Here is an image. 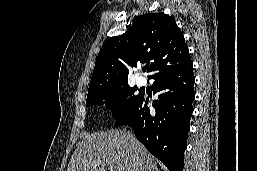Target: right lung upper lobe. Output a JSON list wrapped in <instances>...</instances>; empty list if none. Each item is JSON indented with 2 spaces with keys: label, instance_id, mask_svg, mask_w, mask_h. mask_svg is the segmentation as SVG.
<instances>
[{
  "label": "right lung upper lobe",
  "instance_id": "right-lung-upper-lobe-1",
  "mask_svg": "<svg viewBox=\"0 0 257 171\" xmlns=\"http://www.w3.org/2000/svg\"><path fill=\"white\" fill-rule=\"evenodd\" d=\"M188 59L189 50L174 19L164 13L144 14L127 32L102 46L88 92L127 83L129 68L138 63H147L152 78Z\"/></svg>",
  "mask_w": 257,
  "mask_h": 171
}]
</instances>
